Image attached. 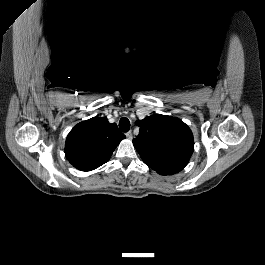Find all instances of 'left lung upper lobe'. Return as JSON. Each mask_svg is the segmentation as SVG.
I'll use <instances>...</instances> for the list:
<instances>
[{"label": "left lung upper lobe", "instance_id": "1", "mask_svg": "<svg viewBox=\"0 0 265 265\" xmlns=\"http://www.w3.org/2000/svg\"><path fill=\"white\" fill-rule=\"evenodd\" d=\"M139 135L133 144L142 160L157 171L174 164H187L194 151L190 128L180 119L155 114L138 120Z\"/></svg>", "mask_w": 265, "mask_h": 265}]
</instances>
